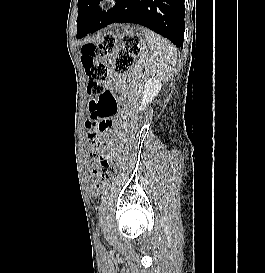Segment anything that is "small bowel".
<instances>
[{"label":"small bowel","instance_id":"c3829d8e","mask_svg":"<svg viewBox=\"0 0 265 273\" xmlns=\"http://www.w3.org/2000/svg\"><path fill=\"white\" fill-rule=\"evenodd\" d=\"M83 64V63H82ZM118 77L115 73H112L108 81L106 82V87L109 90H112L114 88H118V83H117ZM96 147H94L95 149Z\"/></svg>","mask_w":265,"mask_h":273}]
</instances>
